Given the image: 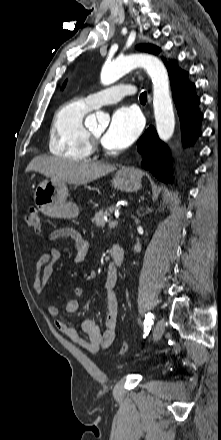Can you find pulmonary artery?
I'll list each match as a JSON object with an SVG mask.
<instances>
[{"label":"pulmonary artery","mask_w":221,"mask_h":440,"mask_svg":"<svg viewBox=\"0 0 221 440\" xmlns=\"http://www.w3.org/2000/svg\"><path fill=\"white\" fill-rule=\"evenodd\" d=\"M134 91L135 88L131 84H119L94 94H90L85 100L92 108H98L105 104L118 102L125 96L132 95Z\"/></svg>","instance_id":"obj_1"}]
</instances>
